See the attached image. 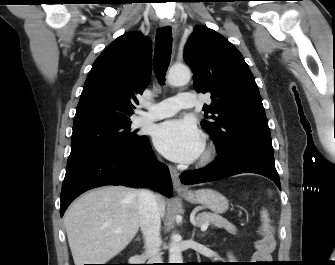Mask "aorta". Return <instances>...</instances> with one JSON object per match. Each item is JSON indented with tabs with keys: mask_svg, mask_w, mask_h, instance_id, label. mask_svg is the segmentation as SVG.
Listing matches in <instances>:
<instances>
[{
	"mask_svg": "<svg viewBox=\"0 0 335 265\" xmlns=\"http://www.w3.org/2000/svg\"><path fill=\"white\" fill-rule=\"evenodd\" d=\"M191 73L186 66H172L167 80L170 85L181 86L190 81ZM180 236L173 234L171 237V244L169 247V263H183L182 252L180 249Z\"/></svg>",
	"mask_w": 335,
	"mask_h": 265,
	"instance_id": "aorta-1",
	"label": "aorta"
}]
</instances>
